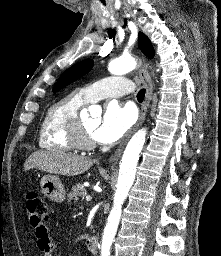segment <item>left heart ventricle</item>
Instances as JSON below:
<instances>
[{
	"label": "left heart ventricle",
	"mask_w": 221,
	"mask_h": 256,
	"mask_svg": "<svg viewBox=\"0 0 221 256\" xmlns=\"http://www.w3.org/2000/svg\"><path fill=\"white\" fill-rule=\"evenodd\" d=\"M82 123H83L85 131L88 133V135H90L92 137V132L97 127L98 120L89 118V119L82 120Z\"/></svg>",
	"instance_id": "1"
}]
</instances>
